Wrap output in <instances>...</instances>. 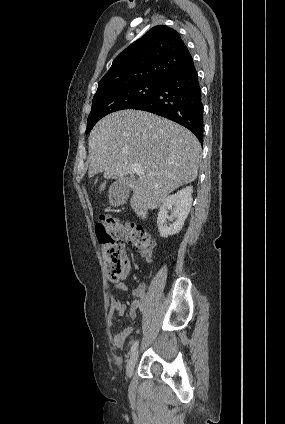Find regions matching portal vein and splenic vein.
Listing matches in <instances>:
<instances>
[{"label":"portal vein and splenic vein","mask_w":285,"mask_h":424,"mask_svg":"<svg viewBox=\"0 0 285 424\" xmlns=\"http://www.w3.org/2000/svg\"><path fill=\"white\" fill-rule=\"evenodd\" d=\"M131 172L136 175H144V171L139 165L133 164L131 165Z\"/></svg>","instance_id":"portal-vein-and-splenic-vein-1"}]
</instances>
